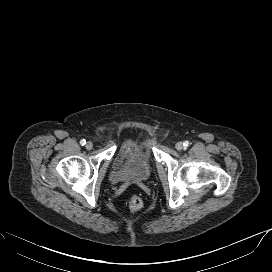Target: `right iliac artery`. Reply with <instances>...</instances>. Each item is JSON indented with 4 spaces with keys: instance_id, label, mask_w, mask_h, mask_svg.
I'll return each mask as SVG.
<instances>
[{
    "instance_id": "82829eb1",
    "label": "right iliac artery",
    "mask_w": 272,
    "mask_h": 272,
    "mask_svg": "<svg viewBox=\"0 0 272 272\" xmlns=\"http://www.w3.org/2000/svg\"><path fill=\"white\" fill-rule=\"evenodd\" d=\"M80 144H81L82 146H84V145L86 144V140H85V139L80 140Z\"/></svg>"
}]
</instances>
